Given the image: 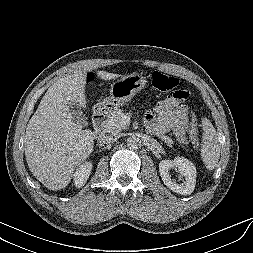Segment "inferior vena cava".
<instances>
[{"mask_svg": "<svg viewBox=\"0 0 253 253\" xmlns=\"http://www.w3.org/2000/svg\"><path fill=\"white\" fill-rule=\"evenodd\" d=\"M117 140V136L115 135H104L99 138V143L100 144H110L113 143Z\"/></svg>", "mask_w": 253, "mask_h": 253, "instance_id": "1", "label": "inferior vena cava"}]
</instances>
